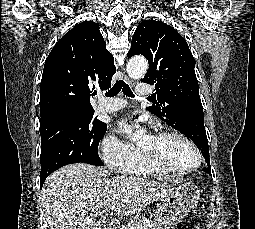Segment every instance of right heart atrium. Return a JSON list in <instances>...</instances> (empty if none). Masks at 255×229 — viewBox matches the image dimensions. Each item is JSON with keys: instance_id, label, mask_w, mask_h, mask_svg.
Wrapping results in <instances>:
<instances>
[{"instance_id": "right-heart-atrium-1", "label": "right heart atrium", "mask_w": 255, "mask_h": 229, "mask_svg": "<svg viewBox=\"0 0 255 229\" xmlns=\"http://www.w3.org/2000/svg\"><path fill=\"white\" fill-rule=\"evenodd\" d=\"M139 149L130 143L123 141L113 134L107 135L101 142V156L105 163L117 170L133 160Z\"/></svg>"}]
</instances>
